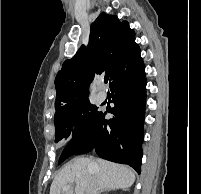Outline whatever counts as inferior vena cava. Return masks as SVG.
Listing matches in <instances>:
<instances>
[{"mask_svg": "<svg viewBox=\"0 0 201 194\" xmlns=\"http://www.w3.org/2000/svg\"><path fill=\"white\" fill-rule=\"evenodd\" d=\"M98 183L96 178H93L90 182L89 186L87 187L86 194H98Z\"/></svg>", "mask_w": 201, "mask_h": 194, "instance_id": "1", "label": "inferior vena cava"}]
</instances>
